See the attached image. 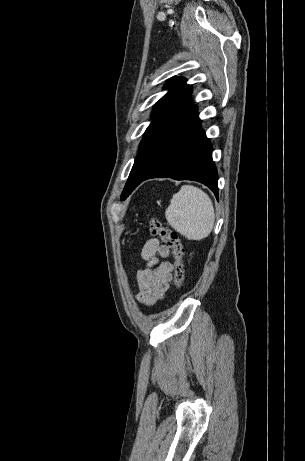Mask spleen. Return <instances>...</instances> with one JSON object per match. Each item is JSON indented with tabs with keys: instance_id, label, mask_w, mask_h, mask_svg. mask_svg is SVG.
Masks as SVG:
<instances>
[{
	"instance_id": "obj_1",
	"label": "spleen",
	"mask_w": 305,
	"mask_h": 461,
	"mask_svg": "<svg viewBox=\"0 0 305 461\" xmlns=\"http://www.w3.org/2000/svg\"><path fill=\"white\" fill-rule=\"evenodd\" d=\"M170 226L189 240H202L213 229L215 211L210 197L200 188L184 185L173 195L165 211Z\"/></svg>"
}]
</instances>
